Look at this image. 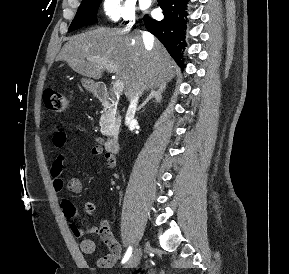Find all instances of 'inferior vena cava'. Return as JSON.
<instances>
[{
	"instance_id": "1",
	"label": "inferior vena cava",
	"mask_w": 289,
	"mask_h": 274,
	"mask_svg": "<svg viewBox=\"0 0 289 274\" xmlns=\"http://www.w3.org/2000/svg\"><path fill=\"white\" fill-rule=\"evenodd\" d=\"M142 39L145 45L151 44L154 42V38L151 34L144 32L142 33ZM138 95H136L135 97H133L130 101V105L128 108V111L126 113V117H125V123L129 124L131 121L134 120V116H135V111L137 108V103H138Z\"/></svg>"
}]
</instances>
